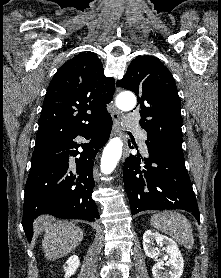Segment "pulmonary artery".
Masks as SVG:
<instances>
[{"mask_svg":"<svg viewBox=\"0 0 221 278\" xmlns=\"http://www.w3.org/2000/svg\"><path fill=\"white\" fill-rule=\"evenodd\" d=\"M124 124L127 128L130 129H138L139 128V123L138 120L134 115H127L124 119ZM146 140H147V135L144 131L141 132L140 134V142L142 145L143 150L146 151Z\"/></svg>","mask_w":221,"mask_h":278,"instance_id":"pulmonary-artery-1","label":"pulmonary artery"}]
</instances>
